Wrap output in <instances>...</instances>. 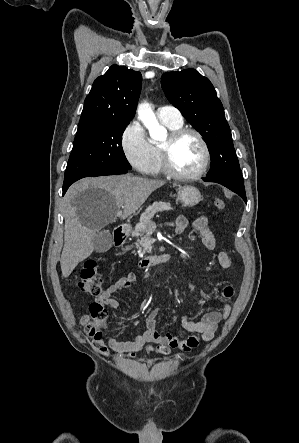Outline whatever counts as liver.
<instances>
[{
    "label": "liver",
    "instance_id": "6515ba94",
    "mask_svg": "<svg viewBox=\"0 0 299 443\" xmlns=\"http://www.w3.org/2000/svg\"><path fill=\"white\" fill-rule=\"evenodd\" d=\"M164 180L131 175L87 178L75 184L66 194L64 210V247L61 271L68 277L75 267L93 250V238L101 228L134 214L152 192L162 187ZM78 199L80 193H85Z\"/></svg>",
    "mask_w": 299,
    "mask_h": 443
}]
</instances>
